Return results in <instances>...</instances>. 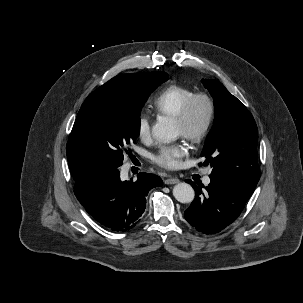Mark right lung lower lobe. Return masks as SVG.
I'll return each instance as SVG.
<instances>
[{
  "mask_svg": "<svg viewBox=\"0 0 303 303\" xmlns=\"http://www.w3.org/2000/svg\"><path fill=\"white\" fill-rule=\"evenodd\" d=\"M74 184L75 196L90 215L112 231L125 232L140 221L148 192L162 180L139 173L135 182H122L118 168L92 166L75 177Z\"/></svg>",
  "mask_w": 303,
  "mask_h": 303,
  "instance_id": "1",
  "label": "right lung lower lobe"
}]
</instances>
